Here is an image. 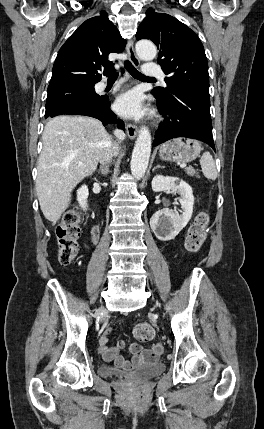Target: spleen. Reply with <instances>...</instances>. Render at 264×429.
<instances>
[{
	"mask_svg": "<svg viewBox=\"0 0 264 429\" xmlns=\"http://www.w3.org/2000/svg\"><path fill=\"white\" fill-rule=\"evenodd\" d=\"M200 165L202 168V173L206 178L210 180H215L217 178L215 162L209 152H204L200 159Z\"/></svg>",
	"mask_w": 264,
	"mask_h": 429,
	"instance_id": "obj_1",
	"label": "spleen"
}]
</instances>
